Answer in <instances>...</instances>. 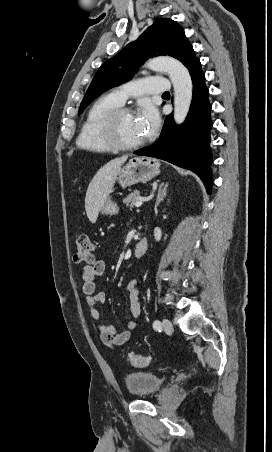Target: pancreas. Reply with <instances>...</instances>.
<instances>
[{
    "label": "pancreas",
    "mask_w": 272,
    "mask_h": 452,
    "mask_svg": "<svg viewBox=\"0 0 272 452\" xmlns=\"http://www.w3.org/2000/svg\"><path fill=\"white\" fill-rule=\"evenodd\" d=\"M139 196H140V192L138 190H136V191L130 193L129 195H127V197L124 198L123 203L127 207L132 208L135 205L136 201L138 200Z\"/></svg>",
    "instance_id": "pancreas-1"
}]
</instances>
